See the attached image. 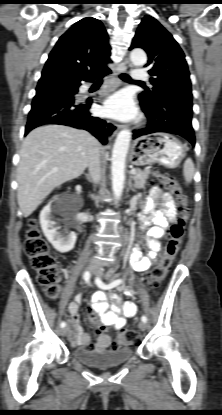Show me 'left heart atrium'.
I'll list each match as a JSON object with an SVG mask.
<instances>
[{"label": "left heart atrium", "mask_w": 222, "mask_h": 415, "mask_svg": "<svg viewBox=\"0 0 222 415\" xmlns=\"http://www.w3.org/2000/svg\"><path fill=\"white\" fill-rule=\"evenodd\" d=\"M104 112L108 116L128 120L135 115L136 108L128 92H119L106 101Z\"/></svg>", "instance_id": "1"}]
</instances>
